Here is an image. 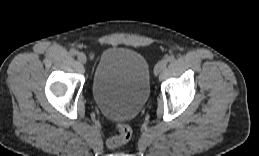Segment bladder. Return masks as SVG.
<instances>
[{"label": "bladder", "instance_id": "obj_1", "mask_svg": "<svg viewBox=\"0 0 259 156\" xmlns=\"http://www.w3.org/2000/svg\"><path fill=\"white\" fill-rule=\"evenodd\" d=\"M150 93V68L140 53L123 47L105 49L96 65L91 94L109 119L127 121L141 111Z\"/></svg>", "mask_w": 259, "mask_h": 156}]
</instances>
